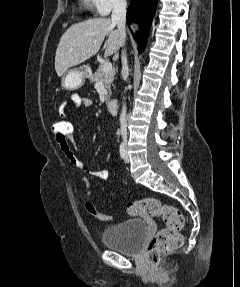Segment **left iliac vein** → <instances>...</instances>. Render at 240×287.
<instances>
[{"label": "left iliac vein", "mask_w": 240, "mask_h": 287, "mask_svg": "<svg viewBox=\"0 0 240 287\" xmlns=\"http://www.w3.org/2000/svg\"><path fill=\"white\" fill-rule=\"evenodd\" d=\"M125 162L128 163L129 162V156L127 154V150H126V155H125Z\"/></svg>", "instance_id": "obj_1"}]
</instances>
